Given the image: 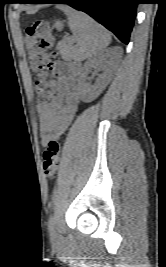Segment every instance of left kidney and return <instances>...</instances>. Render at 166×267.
Returning a JSON list of instances; mask_svg holds the SVG:
<instances>
[{"instance_id": "obj_1", "label": "left kidney", "mask_w": 166, "mask_h": 267, "mask_svg": "<svg viewBox=\"0 0 166 267\" xmlns=\"http://www.w3.org/2000/svg\"><path fill=\"white\" fill-rule=\"evenodd\" d=\"M107 58L108 52L104 51L94 55L85 63L78 78V91L83 102L90 103L94 101L108 85L110 81V70L106 65ZM91 68L103 72L93 85L86 82L88 71Z\"/></svg>"}]
</instances>
